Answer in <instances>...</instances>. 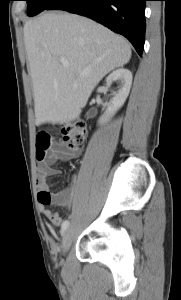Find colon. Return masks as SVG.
Wrapping results in <instances>:
<instances>
[{
    "mask_svg": "<svg viewBox=\"0 0 181 300\" xmlns=\"http://www.w3.org/2000/svg\"><path fill=\"white\" fill-rule=\"evenodd\" d=\"M59 152L62 154L76 153L84 145L87 130L83 122H72L62 126ZM52 145V138L46 133H39L36 137L37 157L43 160L46 150Z\"/></svg>",
    "mask_w": 181,
    "mask_h": 300,
    "instance_id": "5ec220e1",
    "label": "colon"
}]
</instances>
